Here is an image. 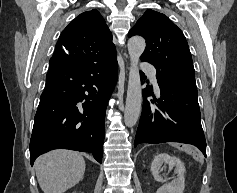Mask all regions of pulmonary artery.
Here are the masks:
<instances>
[{"mask_svg": "<svg viewBox=\"0 0 237 193\" xmlns=\"http://www.w3.org/2000/svg\"><path fill=\"white\" fill-rule=\"evenodd\" d=\"M141 69L150 75L155 88L158 89V83H157V79H156V70H155L154 66H152L148 63H142Z\"/></svg>", "mask_w": 237, "mask_h": 193, "instance_id": "1", "label": "pulmonary artery"}]
</instances>
